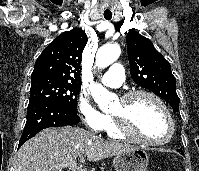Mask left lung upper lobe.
<instances>
[{
	"label": "left lung upper lobe",
	"mask_w": 199,
	"mask_h": 171,
	"mask_svg": "<svg viewBox=\"0 0 199 171\" xmlns=\"http://www.w3.org/2000/svg\"><path fill=\"white\" fill-rule=\"evenodd\" d=\"M127 51L133 80L163 98L177 112L179 97L170 63L149 39L133 30L127 34Z\"/></svg>",
	"instance_id": "5c2ea615"
}]
</instances>
